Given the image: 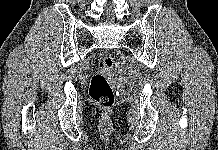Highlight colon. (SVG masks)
Returning a JSON list of instances; mask_svg holds the SVG:
<instances>
[{
    "label": "colon",
    "mask_w": 218,
    "mask_h": 150,
    "mask_svg": "<svg viewBox=\"0 0 218 150\" xmlns=\"http://www.w3.org/2000/svg\"><path fill=\"white\" fill-rule=\"evenodd\" d=\"M99 72L96 73L89 86V95L97 105L109 108L114 104L115 96L106 73L113 67V58L108 52H103L98 60Z\"/></svg>",
    "instance_id": "obj_1"
}]
</instances>
